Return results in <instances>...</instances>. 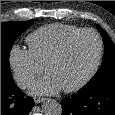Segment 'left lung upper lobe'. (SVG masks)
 Returning <instances> with one entry per match:
<instances>
[{"instance_id":"1","label":"left lung upper lobe","mask_w":115,"mask_h":115,"mask_svg":"<svg viewBox=\"0 0 115 115\" xmlns=\"http://www.w3.org/2000/svg\"><path fill=\"white\" fill-rule=\"evenodd\" d=\"M99 30L104 41L103 62L97 73L80 91L115 82V45L104 29L99 27Z\"/></svg>"}]
</instances>
